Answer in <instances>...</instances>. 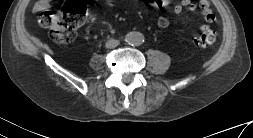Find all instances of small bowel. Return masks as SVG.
<instances>
[{
	"mask_svg": "<svg viewBox=\"0 0 253 138\" xmlns=\"http://www.w3.org/2000/svg\"><path fill=\"white\" fill-rule=\"evenodd\" d=\"M53 0H38L35 4V11L42 12L48 9ZM145 3L158 9L172 8L175 14H179L183 9L194 11L199 9L204 18L205 23L200 26V30H207L210 25L215 21V16L207 0H198L197 3H193L192 0H181L175 4H172L169 0H144ZM157 26L160 29H166L169 26V20L163 16L158 17Z\"/></svg>",
	"mask_w": 253,
	"mask_h": 138,
	"instance_id": "1",
	"label": "small bowel"
}]
</instances>
